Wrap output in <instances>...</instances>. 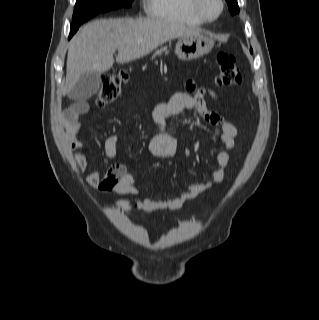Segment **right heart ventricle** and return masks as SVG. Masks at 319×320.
Instances as JSON below:
<instances>
[{
  "instance_id": "1",
  "label": "right heart ventricle",
  "mask_w": 319,
  "mask_h": 320,
  "mask_svg": "<svg viewBox=\"0 0 319 320\" xmlns=\"http://www.w3.org/2000/svg\"><path fill=\"white\" fill-rule=\"evenodd\" d=\"M148 14L157 20L201 26L203 21L193 13L190 0H146Z\"/></svg>"
}]
</instances>
